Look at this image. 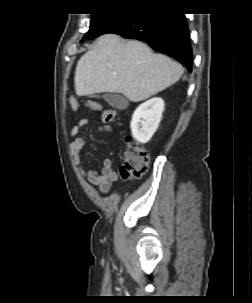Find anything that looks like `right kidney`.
Returning a JSON list of instances; mask_svg holds the SVG:
<instances>
[{
    "instance_id": "obj_1",
    "label": "right kidney",
    "mask_w": 252,
    "mask_h": 303,
    "mask_svg": "<svg viewBox=\"0 0 252 303\" xmlns=\"http://www.w3.org/2000/svg\"><path fill=\"white\" fill-rule=\"evenodd\" d=\"M164 111V101L154 97L142 103L134 112L131 120L133 137L142 144L147 143L160 124Z\"/></svg>"
}]
</instances>
